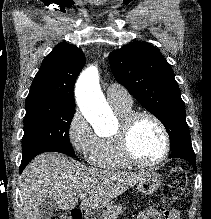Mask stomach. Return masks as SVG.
<instances>
[{
    "instance_id": "obj_1",
    "label": "stomach",
    "mask_w": 211,
    "mask_h": 219,
    "mask_svg": "<svg viewBox=\"0 0 211 219\" xmlns=\"http://www.w3.org/2000/svg\"><path fill=\"white\" fill-rule=\"evenodd\" d=\"M160 184V175L156 172L149 171L148 175L138 183L137 189L141 194L149 195L156 192ZM114 207L112 203H108L105 206L89 211V214L101 219L103 216L108 215Z\"/></svg>"
}]
</instances>
